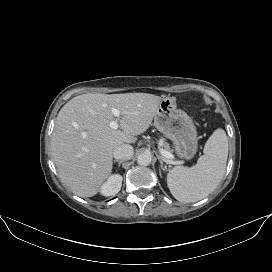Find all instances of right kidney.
<instances>
[{
  "instance_id": "right-kidney-1",
  "label": "right kidney",
  "mask_w": 272,
  "mask_h": 272,
  "mask_svg": "<svg viewBox=\"0 0 272 272\" xmlns=\"http://www.w3.org/2000/svg\"><path fill=\"white\" fill-rule=\"evenodd\" d=\"M122 186V176L114 174L110 176L106 182L100 188V192L103 196H111L117 194Z\"/></svg>"
}]
</instances>
